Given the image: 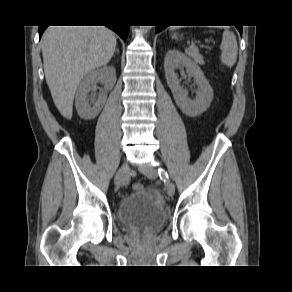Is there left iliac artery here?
Returning a JSON list of instances; mask_svg holds the SVG:
<instances>
[{
  "mask_svg": "<svg viewBox=\"0 0 292 292\" xmlns=\"http://www.w3.org/2000/svg\"><path fill=\"white\" fill-rule=\"evenodd\" d=\"M158 174L160 178L164 181L165 185L167 186L170 183L167 171H165L163 168H159Z\"/></svg>",
  "mask_w": 292,
  "mask_h": 292,
  "instance_id": "obj_1",
  "label": "left iliac artery"
}]
</instances>
